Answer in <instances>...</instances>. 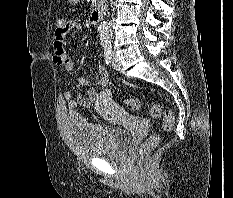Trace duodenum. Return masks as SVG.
<instances>
[{
    "instance_id": "duodenum-1",
    "label": "duodenum",
    "mask_w": 233,
    "mask_h": 198,
    "mask_svg": "<svg viewBox=\"0 0 233 198\" xmlns=\"http://www.w3.org/2000/svg\"><path fill=\"white\" fill-rule=\"evenodd\" d=\"M103 15H104L103 8L97 7L91 12L89 16V22L93 25L98 24L102 20Z\"/></svg>"
}]
</instances>
